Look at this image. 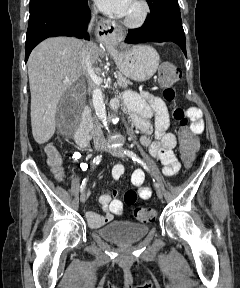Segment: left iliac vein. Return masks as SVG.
Returning a JSON list of instances; mask_svg holds the SVG:
<instances>
[{"label":"left iliac vein","mask_w":240,"mask_h":288,"mask_svg":"<svg viewBox=\"0 0 240 288\" xmlns=\"http://www.w3.org/2000/svg\"><path fill=\"white\" fill-rule=\"evenodd\" d=\"M105 151L111 153L112 155L116 156V157H120V158H125V153H124V150L121 149V148H109V147H105L104 148ZM156 194L158 196V198L160 200L163 199V193L162 191L156 186Z\"/></svg>","instance_id":"1"}]
</instances>
